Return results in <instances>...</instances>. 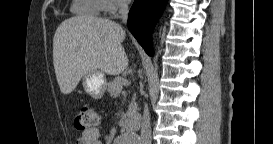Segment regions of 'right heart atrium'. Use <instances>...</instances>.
<instances>
[{
  "mask_svg": "<svg viewBox=\"0 0 273 144\" xmlns=\"http://www.w3.org/2000/svg\"><path fill=\"white\" fill-rule=\"evenodd\" d=\"M102 4L101 11L114 16L122 7L125 6L124 0H100Z\"/></svg>",
  "mask_w": 273,
  "mask_h": 144,
  "instance_id": "1",
  "label": "right heart atrium"
}]
</instances>
